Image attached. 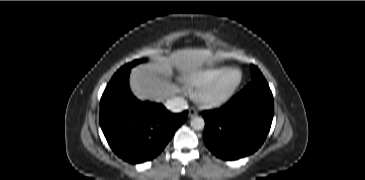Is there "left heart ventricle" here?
Segmentation results:
<instances>
[{
	"label": "left heart ventricle",
	"instance_id": "left-heart-ventricle-1",
	"mask_svg": "<svg viewBox=\"0 0 365 180\" xmlns=\"http://www.w3.org/2000/svg\"><path fill=\"white\" fill-rule=\"evenodd\" d=\"M239 74L237 72H231L221 78L213 87V93L220 95L228 91L238 80Z\"/></svg>",
	"mask_w": 365,
	"mask_h": 180
}]
</instances>
